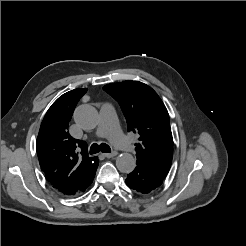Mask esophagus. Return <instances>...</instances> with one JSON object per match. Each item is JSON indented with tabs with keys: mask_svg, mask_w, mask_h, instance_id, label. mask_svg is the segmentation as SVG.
Instances as JSON below:
<instances>
[{
	"mask_svg": "<svg viewBox=\"0 0 246 246\" xmlns=\"http://www.w3.org/2000/svg\"><path fill=\"white\" fill-rule=\"evenodd\" d=\"M103 155L106 158H113V157H115L117 155V152L116 151H113L111 153H104Z\"/></svg>",
	"mask_w": 246,
	"mask_h": 246,
	"instance_id": "34e87169",
	"label": "esophagus"
}]
</instances>
